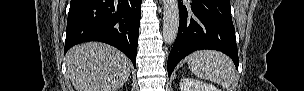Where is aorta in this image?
<instances>
[{
  "mask_svg": "<svg viewBox=\"0 0 304 91\" xmlns=\"http://www.w3.org/2000/svg\"><path fill=\"white\" fill-rule=\"evenodd\" d=\"M163 39L166 44L175 42L179 28L178 0H163Z\"/></svg>",
  "mask_w": 304,
  "mask_h": 91,
  "instance_id": "1",
  "label": "aorta"
}]
</instances>
